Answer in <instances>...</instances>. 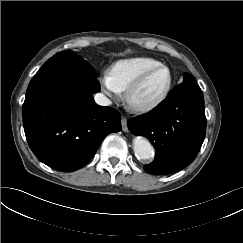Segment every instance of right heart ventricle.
Listing matches in <instances>:
<instances>
[{
	"label": "right heart ventricle",
	"instance_id": "obj_1",
	"mask_svg": "<svg viewBox=\"0 0 243 243\" xmlns=\"http://www.w3.org/2000/svg\"><path fill=\"white\" fill-rule=\"evenodd\" d=\"M161 63L149 57H135L117 61L109 70L108 76L119 91L126 89L146 70Z\"/></svg>",
	"mask_w": 243,
	"mask_h": 243
}]
</instances>
